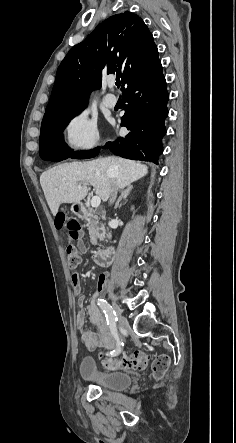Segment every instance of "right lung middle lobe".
<instances>
[{
	"label": "right lung middle lobe",
	"instance_id": "obj_1",
	"mask_svg": "<svg viewBox=\"0 0 236 443\" xmlns=\"http://www.w3.org/2000/svg\"><path fill=\"white\" fill-rule=\"evenodd\" d=\"M85 107L86 106L44 119L41 125L39 149L42 150L55 145H64L63 130L70 120Z\"/></svg>",
	"mask_w": 236,
	"mask_h": 443
}]
</instances>
